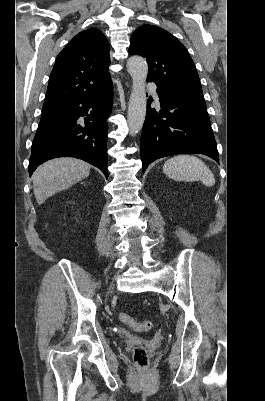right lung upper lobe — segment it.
Wrapping results in <instances>:
<instances>
[{"label":"right lung upper lobe","mask_w":265,"mask_h":401,"mask_svg":"<svg viewBox=\"0 0 265 401\" xmlns=\"http://www.w3.org/2000/svg\"><path fill=\"white\" fill-rule=\"evenodd\" d=\"M109 50L100 30L90 28L77 34L56 58L43 108L105 88L111 82Z\"/></svg>","instance_id":"obj_1"}]
</instances>
